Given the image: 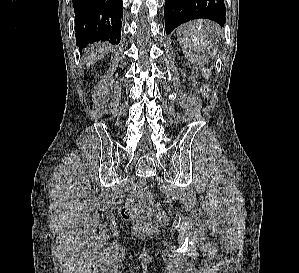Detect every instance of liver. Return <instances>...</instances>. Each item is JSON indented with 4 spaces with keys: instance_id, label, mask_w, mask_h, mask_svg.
<instances>
[{
    "instance_id": "obj_1",
    "label": "liver",
    "mask_w": 299,
    "mask_h": 273,
    "mask_svg": "<svg viewBox=\"0 0 299 273\" xmlns=\"http://www.w3.org/2000/svg\"><path fill=\"white\" fill-rule=\"evenodd\" d=\"M108 49H109V47L106 46L105 44H99V45H97L96 48H95V52L92 53L88 57L87 66H90L95 61L103 58L104 55H105V53L108 51Z\"/></svg>"
}]
</instances>
